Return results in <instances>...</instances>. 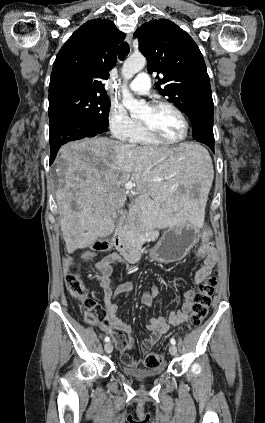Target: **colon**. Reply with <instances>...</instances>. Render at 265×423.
I'll return each instance as SVG.
<instances>
[{"label":"colon","instance_id":"1","mask_svg":"<svg viewBox=\"0 0 265 423\" xmlns=\"http://www.w3.org/2000/svg\"><path fill=\"white\" fill-rule=\"evenodd\" d=\"M210 232L205 231L203 234V245L209 244ZM111 248V243L108 240H99L95 242L90 250L86 253L85 258H91L97 252H105ZM83 269L82 266L76 262H71L68 265L66 273V286L69 293L82 300L85 312L84 319L88 324L95 325L97 323H104L106 320V312L97 307L94 300L89 296L88 289L82 280ZM217 285L215 275L208 276L200 285L197 291L192 312L186 324L187 328L198 327L206 318L208 308L211 305V298L215 292ZM163 363V356L159 352H152L147 355L139 367L148 369L158 368Z\"/></svg>","mask_w":265,"mask_h":423}]
</instances>
